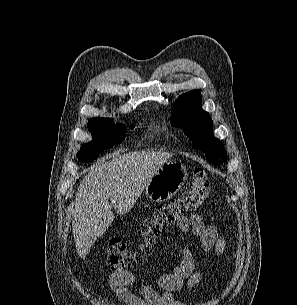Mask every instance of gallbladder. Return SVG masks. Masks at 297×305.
<instances>
[{
    "mask_svg": "<svg viewBox=\"0 0 297 305\" xmlns=\"http://www.w3.org/2000/svg\"><path fill=\"white\" fill-rule=\"evenodd\" d=\"M89 243H90L91 246H93L94 243H95V239H90V240H89Z\"/></svg>",
    "mask_w": 297,
    "mask_h": 305,
    "instance_id": "bac80fb5",
    "label": "gallbladder"
}]
</instances>
